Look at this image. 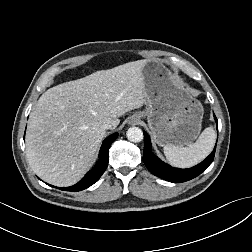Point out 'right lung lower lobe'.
I'll return each instance as SVG.
<instances>
[{"mask_svg":"<svg viewBox=\"0 0 252 252\" xmlns=\"http://www.w3.org/2000/svg\"><path fill=\"white\" fill-rule=\"evenodd\" d=\"M117 137H118V133H114L113 135L109 136L103 141V144L99 152V160L97 161L94 168L90 170L84 176V178H82L77 184L73 186L59 188V189L65 190V191H81L93 185L106 170L108 166V161H109V156H108L109 148H110V145L113 143V141Z\"/></svg>","mask_w":252,"mask_h":252,"instance_id":"1","label":"right lung lower lobe"}]
</instances>
